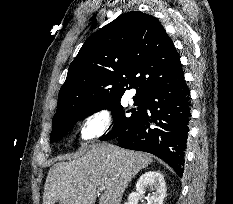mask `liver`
<instances>
[{"label": "liver", "instance_id": "6515ba94", "mask_svg": "<svg viewBox=\"0 0 233 204\" xmlns=\"http://www.w3.org/2000/svg\"><path fill=\"white\" fill-rule=\"evenodd\" d=\"M83 149L80 157L49 169L43 204H95L99 187V204H120L130 181L153 161L145 153L105 142L83 144Z\"/></svg>", "mask_w": 233, "mask_h": 204}]
</instances>
